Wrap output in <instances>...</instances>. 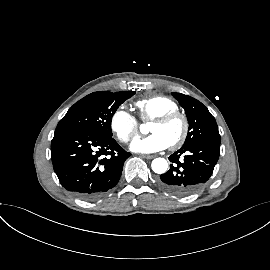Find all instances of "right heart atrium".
I'll list each match as a JSON object with an SVG mask.
<instances>
[{"label":"right heart atrium","instance_id":"1","mask_svg":"<svg viewBox=\"0 0 270 270\" xmlns=\"http://www.w3.org/2000/svg\"><path fill=\"white\" fill-rule=\"evenodd\" d=\"M110 128L120 142L128 143L138 134L139 123L129 111L117 108L111 114Z\"/></svg>","mask_w":270,"mask_h":270}]
</instances>
